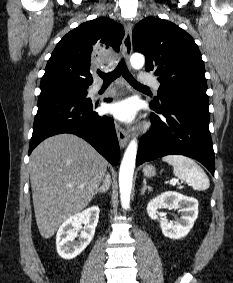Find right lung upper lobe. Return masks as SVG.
Masks as SVG:
<instances>
[{"label": "right lung upper lobe", "instance_id": "right-lung-upper-lobe-1", "mask_svg": "<svg viewBox=\"0 0 233 283\" xmlns=\"http://www.w3.org/2000/svg\"><path fill=\"white\" fill-rule=\"evenodd\" d=\"M123 37L122 25L110 18L79 25L58 42L41 82L65 80L89 86L94 70H106L108 58L119 51Z\"/></svg>", "mask_w": 233, "mask_h": 283}]
</instances>
